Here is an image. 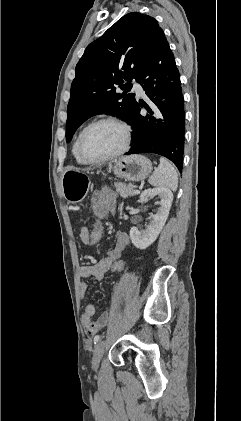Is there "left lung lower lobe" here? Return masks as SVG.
Listing matches in <instances>:
<instances>
[{
    "label": "left lung lower lobe",
    "mask_w": 241,
    "mask_h": 421,
    "mask_svg": "<svg viewBox=\"0 0 241 421\" xmlns=\"http://www.w3.org/2000/svg\"><path fill=\"white\" fill-rule=\"evenodd\" d=\"M151 105L136 103L130 125L132 147L126 153H156L170 159L181 171L184 153L185 112L180 74L173 53L161 30L138 72ZM145 107L148 114H140Z\"/></svg>",
    "instance_id": "left-lung-lower-lobe-1"
}]
</instances>
